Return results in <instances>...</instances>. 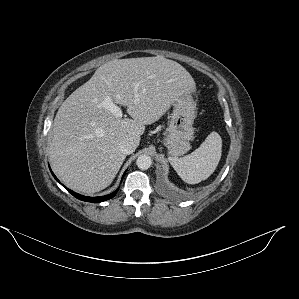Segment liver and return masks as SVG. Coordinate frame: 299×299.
Returning a JSON list of instances; mask_svg holds the SVG:
<instances>
[{
	"label": "liver",
	"mask_w": 299,
	"mask_h": 299,
	"mask_svg": "<svg viewBox=\"0 0 299 299\" xmlns=\"http://www.w3.org/2000/svg\"><path fill=\"white\" fill-rule=\"evenodd\" d=\"M190 73L163 56L115 59L100 66L60 106L49 157L54 171L74 191L108 187L126 155L121 141L140 143L145 125L158 121L180 96L195 92ZM127 107L121 118L103 107L105 98Z\"/></svg>",
	"instance_id": "liver-1"
}]
</instances>
